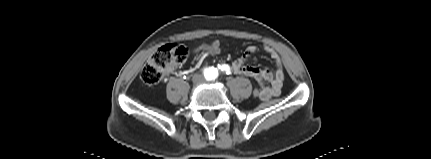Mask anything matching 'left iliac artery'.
Segmentation results:
<instances>
[{
    "label": "left iliac artery",
    "mask_w": 431,
    "mask_h": 159,
    "mask_svg": "<svg viewBox=\"0 0 431 159\" xmlns=\"http://www.w3.org/2000/svg\"><path fill=\"white\" fill-rule=\"evenodd\" d=\"M219 69H220L221 71L225 72L226 74H229V73H230L229 66H228V65H226V64H224V65H222V66H219ZM217 76H218V71H217V69H216V71L212 74L211 79H215ZM211 79H210V80H211Z\"/></svg>",
    "instance_id": "44dca946"
}]
</instances>
